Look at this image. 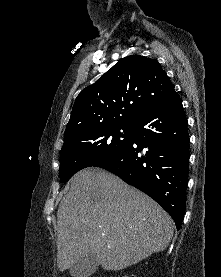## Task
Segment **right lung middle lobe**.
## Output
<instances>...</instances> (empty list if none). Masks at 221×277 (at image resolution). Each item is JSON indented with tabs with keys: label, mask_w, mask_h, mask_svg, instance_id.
I'll list each match as a JSON object with an SVG mask.
<instances>
[{
	"label": "right lung middle lobe",
	"mask_w": 221,
	"mask_h": 277,
	"mask_svg": "<svg viewBox=\"0 0 221 277\" xmlns=\"http://www.w3.org/2000/svg\"><path fill=\"white\" fill-rule=\"evenodd\" d=\"M133 125H101L84 130L64 141L59 177L67 182L79 170L94 166L129 145Z\"/></svg>",
	"instance_id": "1"
}]
</instances>
